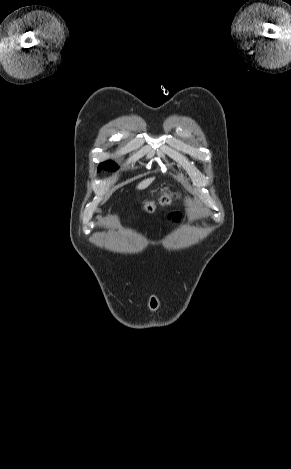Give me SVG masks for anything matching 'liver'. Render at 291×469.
<instances>
[{"label": "liver", "mask_w": 291, "mask_h": 469, "mask_svg": "<svg viewBox=\"0 0 291 469\" xmlns=\"http://www.w3.org/2000/svg\"><path fill=\"white\" fill-rule=\"evenodd\" d=\"M154 181V178H148L140 182L137 186V189L142 190L147 188L152 182Z\"/></svg>", "instance_id": "liver-1"}]
</instances>
